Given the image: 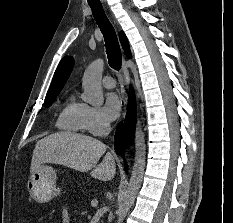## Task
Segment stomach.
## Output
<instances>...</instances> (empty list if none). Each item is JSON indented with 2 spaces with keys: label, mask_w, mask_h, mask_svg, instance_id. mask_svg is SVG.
I'll list each match as a JSON object with an SVG mask.
<instances>
[{
  "label": "stomach",
  "mask_w": 233,
  "mask_h": 223,
  "mask_svg": "<svg viewBox=\"0 0 233 223\" xmlns=\"http://www.w3.org/2000/svg\"><path fill=\"white\" fill-rule=\"evenodd\" d=\"M27 189L30 197L38 203H47L53 197L60 195L62 189L57 185V173L54 167L42 163L33 173H30L27 181Z\"/></svg>",
  "instance_id": "stomach-1"
}]
</instances>
